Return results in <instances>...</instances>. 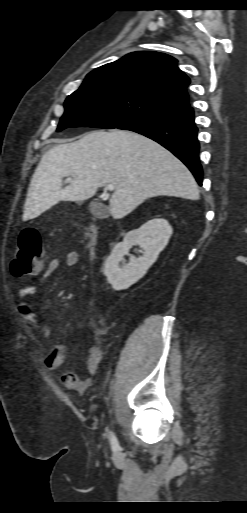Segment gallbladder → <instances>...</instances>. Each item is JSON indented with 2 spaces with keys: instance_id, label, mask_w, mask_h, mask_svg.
<instances>
[{
  "instance_id": "obj_1",
  "label": "gallbladder",
  "mask_w": 247,
  "mask_h": 513,
  "mask_svg": "<svg viewBox=\"0 0 247 513\" xmlns=\"http://www.w3.org/2000/svg\"><path fill=\"white\" fill-rule=\"evenodd\" d=\"M90 211L97 218H106L109 214V209L98 201L90 204Z\"/></svg>"
}]
</instances>
